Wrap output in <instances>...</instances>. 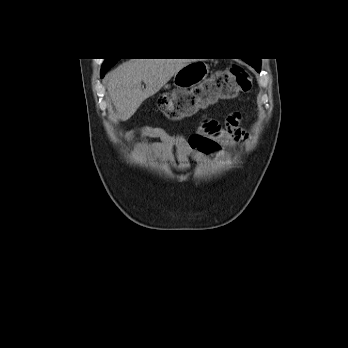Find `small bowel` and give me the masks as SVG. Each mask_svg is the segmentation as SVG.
<instances>
[{"label": "small bowel", "instance_id": "c3829d8e", "mask_svg": "<svg viewBox=\"0 0 348 348\" xmlns=\"http://www.w3.org/2000/svg\"><path fill=\"white\" fill-rule=\"evenodd\" d=\"M146 133L159 139V142L148 146L151 152L168 153L171 148L176 149L178 168L181 171L190 167L192 158L201 160L202 156L220 152L221 145L215 138H225L234 142H245L248 139V133L241 126V117L237 112L229 114L226 118L224 132L205 119L198 132L190 136L168 134L160 129H149Z\"/></svg>", "mask_w": 348, "mask_h": 348}]
</instances>
